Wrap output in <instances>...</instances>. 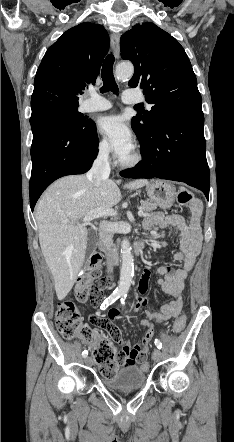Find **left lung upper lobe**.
Instances as JSON below:
<instances>
[{"mask_svg": "<svg viewBox=\"0 0 234 442\" xmlns=\"http://www.w3.org/2000/svg\"><path fill=\"white\" fill-rule=\"evenodd\" d=\"M121 57L134 64L128 85L143 89L151 111L132 118L131 126L145 145L156 126L171 116L202 110L196 76L185 50L153 23L136 24L120 40Z\"/></svg>", "mask_w": 234, "mask_h": 442, "instance_id": "1", "label": "left lung upper lobe"}]
</instances>
